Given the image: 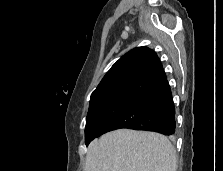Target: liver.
Wrapping results in <instances>:
<instances>
[{"label": "liver", "instance_id": "obj_1", "mask_svg": "<svg viewBox=\"0 0 223 171\" xmlns=\"http://www.w3.org/2000/svg\"><path fill=\"white\" fill-rule=\"evenodd\" d=\"M176 151L167 137L119 129L88 146L84 171H176Z\"/></svg>", "mask_w": 223, "mask_h": 171}]
</instances>
